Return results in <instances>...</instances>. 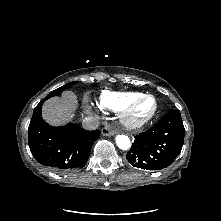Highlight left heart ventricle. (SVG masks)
Returning a JSON list of instances; mask_svg holds the SVG:
<instances>
[{
	"instance_id": "b2bd125f",
	"label": "left heart ventricle",
	"mask_w": 221,
	"mask_h": 221,
	"mask_svg": "<svg viewBox=\"0 0 221 221\" xmlns=\"http://www.w3.org/2000/svg\"><path fill=\"white\" fill-rule=\"evenodd\" d=\"M154 108L153 99H145L138 103L132 110L131 117L134 120H141L148 116Z\"/></svg>"
}]
</instances>
